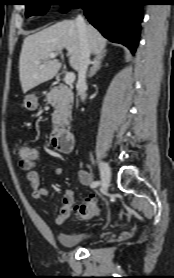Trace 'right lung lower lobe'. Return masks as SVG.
I'll return each mask as SVG.
<instances>
[{
	"label": "right lung lower lobe",
	"instance_id": "right-lung-lower-lobe-1",
	"mask_svg": "<svg viewBox=\"0 0 174 278\" xmlns=\"http://www.w3.org/2000/svg\"><path fill=\"white\" fill-rule=\"evenodd\" d=\"M143 0H78L89 22L107 39L135 52L143 19Z\"/></svg>",
	"mask_w": 174,
	"mask_h": 278
}]
</instances>
